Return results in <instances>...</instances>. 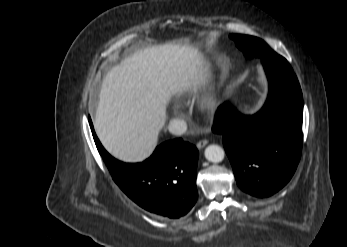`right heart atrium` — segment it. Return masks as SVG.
<instances>
[{"label":"right heart atrium","instance_id":"obj_1","mask_svg":"<svg viewBox=\"0 0 347 247\" xmlns=\"http://www.w3.org/2000/svg\"><path fill=\"white\" fill-rule=\"evenodd\" d=\"M180 113H181V112H180V110H179V109H177V108H175V109H174V114H176V115H180Z\"/></svg>","mask_w":347,"mask_h":247}]
</instances>
